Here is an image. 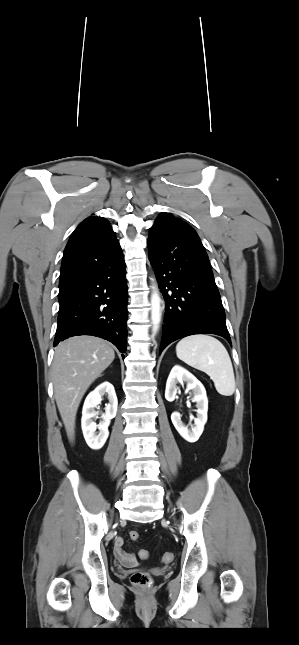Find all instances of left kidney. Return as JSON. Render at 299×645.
Instances as JSON below:
<instances>
[{
	"instance_id": "5707ae66",
	"label": "left kidney",
	"mask_w": 299,
	"mask_h": 645,
	"mask_svg": "<svg viewBox=\"0 0 299 645\" xmlns=\"http://www.w3.org/2000/svg\"><path fill=\"white\" fill-rule=\"evenodd\" d=\"M187 383V389L193 393L192 401L196 402L197 417L194 419V426L191 430L186 427L181 421V415L178 412H173L171 420L178 431V433L188 442H196L204 430V425L207 422L208 399L206 390L202 383L197 380L190 372L183 367L176 365L172 368L166 383L165 398L167 401H174L177 393L178 383Z\"/></svg>"
}]
</instances>
